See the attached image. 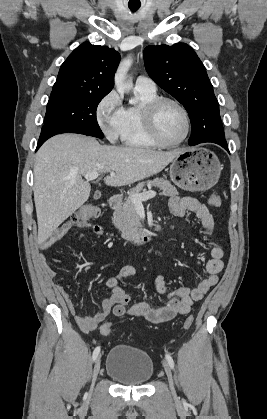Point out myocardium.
<instances>
[{"label": "myocardium", "mask_w": 267, "mask_h": 419, "mask_svg": "<svg viewBox=\"0 0 267 419\" xmlns=\"http://www.w3.org/2000/svg\"><path fill=\"white\" fill-rule=\"evenodd\" d=\"M165 103H171L179 108L182 112L185 121V132L181 139L176 142H167L159 134L157 128V113L160 107ZM143 120L145 129L150 138L161 147H176L181 145L188 137L191 128V121L189 113L186 107L178 100L170 97H157L153 101L149 102L143 110Z\"/></svg>", "instance_id": "1"}]
</instances>
